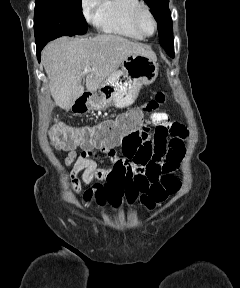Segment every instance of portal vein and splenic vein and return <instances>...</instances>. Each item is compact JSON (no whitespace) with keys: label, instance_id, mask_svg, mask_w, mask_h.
<instances>
[{"label":"portal vein and splenic vein","instance_id":"portal-vein-and-splenic-vein-1","mask_svg":"<svg viewBox=\"0 0 240 288\" xmlns=\"http://www.w3.org/2000/svg\"><path fill=\"white\" fill-rule=\"evenodd\" d=\"M89 72V67H85L83 70V74H87Z\"/></svg>","mask_w":240,"mask_h":288}]
</instances>
